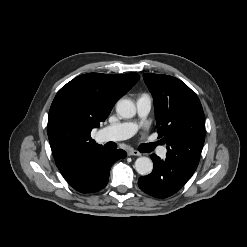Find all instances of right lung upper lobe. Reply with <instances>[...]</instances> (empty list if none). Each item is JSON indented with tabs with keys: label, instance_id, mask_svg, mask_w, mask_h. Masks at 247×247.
<instances>
[{
	"label": "right lung upper lobe",
	"instance_id": "cb5924a9",
	"mask_svg": "<svg viewBox=\"0 0 247 247\" xmlns=\"http://www.w3.org/2000/svg\"><path fill=\"white\" fill-rule=\"evenodd\" d=\"M137 73L78 76L56 94L48 117V137L56 165L64 178L79 162L104 150L91 138L116 101L139 80Z\"/></svg>",
	"mask_w": 247,
	"mask_h": 247
}]
</instances>
